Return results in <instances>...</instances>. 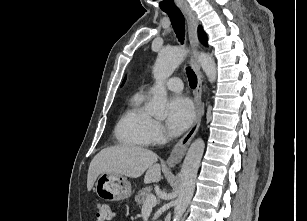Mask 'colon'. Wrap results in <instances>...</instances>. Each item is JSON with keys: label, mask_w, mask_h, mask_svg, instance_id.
I'll return each mask as SVG.
<instances>
[{"label": "colon", "mask_w": 307, "mask_h": 221, "mask_svg": "<svg viewBox=\"0 0 307 221\" xmlns=\"http://www.w3.org/2000/svg\"><path fill=\"white\" fill-rule=\"evenodd\" d=\"M97 218L99 221H109L114 217L111 206L104 201H98L96 203Z\"/></svg>", "instance_id": "colon-1"}]
</instances>
